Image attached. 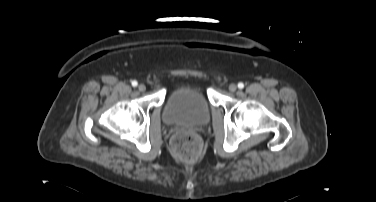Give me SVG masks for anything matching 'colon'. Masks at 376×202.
<instances>
[{"mask_svg":"<svg viewBox=\"0 0 376 202\" xmlns=\"http://www.w3.org/2000/svg\"><path fill=\"white\" fill-rule=\"evenodd\" d=\"M171 150L174 155L183 161H194L202 150L200 137L192 132L178 131L171 138Z\"/></svg>","mask_w":376,"mask_h":202,"instance_id":"obj_1","label":"colon"}]
</instances>
